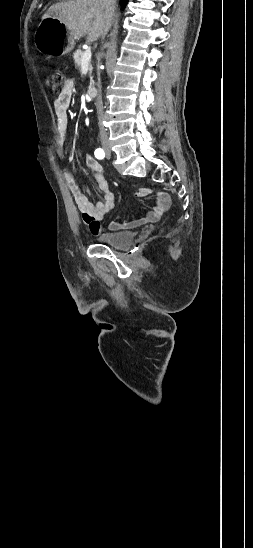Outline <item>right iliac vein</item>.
<instances>
[{"label": "right iliac vein", "instance_id": "obj_1", "mask_svg": "<svg viewBox=\"0 0 253 548\" xmlns=\"http://www.w3.org/2000/svg\"><path fill=\"white\" fill-rule=\"evenodd\" d=\"M103 147H104V149H105L107 152L110 151V145H109L108 143H105V144L103 145Z\"/></svg>", "mask_w": 253, "mask_h": 548}]
</instances>
